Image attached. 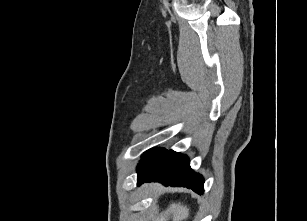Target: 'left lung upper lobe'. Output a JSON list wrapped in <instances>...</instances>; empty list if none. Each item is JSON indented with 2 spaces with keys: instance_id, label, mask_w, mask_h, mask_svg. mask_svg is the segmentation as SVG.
Here are the masks:
<instances>
[{
  "instance_id": "1",
  "label": "left lung upper lobe",
  "mask_w": 307,
  "mask_h": 221,
  "mask_svg": "<svg viewBox=\"0 0 307 221\" xmlns=\"http://www.w3.org/2000/svg\"><path fill=\"white\" fill-rule=\"evenodd\" d=\"M166 151L165 148H153L151 150L146 151L142 155V159L137 166V173H140L146 167H148L153 161L159 158L164 152Z\"/></svg>"
}]
</instances>
